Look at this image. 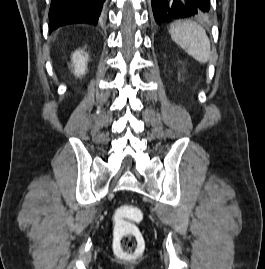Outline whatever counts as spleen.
I'll use <instances>...</instances> for the list:
<instances>
[{
  "instance_id": "1",
  "label": "spleen",
  "mask_w": 265,
  "mask_h": 269,
  "mask_svg": "<svg viewBox=\"0 0 265 269\" xmlns=\"http://www.w3.org/2000/svg\"><path fill=\"white\" fill-rule=\"evenodd\" d=\"M172 40L200 63H207L211 46L205 29L197 23H173L169 28Z\"/></svg>"
}]
</instances>
